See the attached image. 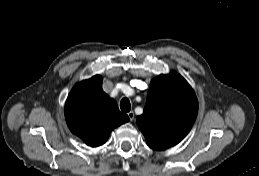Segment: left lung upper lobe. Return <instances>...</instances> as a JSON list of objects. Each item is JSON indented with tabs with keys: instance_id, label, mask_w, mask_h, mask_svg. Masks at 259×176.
<instances>
[{
	"instance_id": "obj_1",
	"label": "left lung upper lobe",
	"mask_w": 259,
	"mask_h": 176,
	"mask_svg": "<svg viewBox=\"0 0 259 176\" xmlns=\"http://www.w3.org/2000/svg\"><path fill=\"white\" fill-rule=\"evenodd\" d=\"M198 113V100L188 82L176 72L150 83L144 113L137 125L152 149L179 143L190 131Z\"/></svg>"
}]
</instances>
